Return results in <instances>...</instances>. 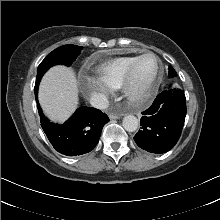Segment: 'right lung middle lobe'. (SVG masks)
Returning a JSON list of instances; mask_svg holds the SVG:
<instances>
[{
    "label": "right lung middle lobe",
    "instance_id": "obj_1",
    "mask_svg": "<svg viewBox=\"0 0 220 220\" xmlns=\"http://www.w3.org/2000/svg\"><path fill=\"white\" fill-rule=\"evenodd\" d=\"M82 47L76 45H64L49 53L40 63L37 69L36 81H40L44 73L56 64L70 66L80 54Z\"/></svg>",
    "mask_w": 220,
    "mask_h": 220
}]
</instances>
